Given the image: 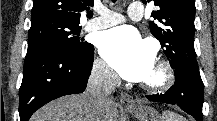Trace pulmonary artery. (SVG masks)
I'll return each instance as SVG.
<instances>
[{
    "mask_svg": "<svg viewBox=\"0 0 217 121\" xmlns=\"http://www.w3.org/2000/svg\"><path fill=\"white\" fill-rule=\"evenodd\" d=\"M143 14L144 8L141 3H131L128 9V18L130 20H140ZM123 21H125V18L121 14L108 9H104L99 12V17H96L89 21L84 28L86 31H98L114 26Z\"/></svg>",
    "mask_w": 217,
    "mask_h": 121,
    "instance_id": "e3ab8cb5",
    "label": "pulmonary artery"
}]
</instances>
